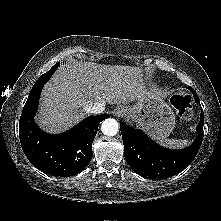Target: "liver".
I'll list each match as a JSON object with an SVG mask.
<instances>
[{
  "label": "liver",
  "instance_id": "liver-1",
  "mask_svg": "<svg viewBox=\"0 0 221 221\" xmlns=\"http://www.w3.org/2000/svg\"><path fill=\"white\" fill-rule=\"evenodd\" d=\"M142 77L133 66L62 64L43 88L36 122L46 132L61 133L85 118L88 105L138 101L147 94Z\"/></svg>",
  "mask_w": 221,
  "mask_h": 221
}]
</instances>
